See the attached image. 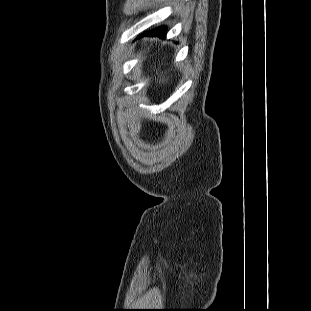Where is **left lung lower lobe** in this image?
<instances>
[{
    "label": "left lung lower lobe",
    "instance_id": "1",
    "mask_svg": "<svg viewBox=\"0 0 311 311\" xmlns=\"http://www.w3.org/2000/svg\"><path fill=\"white\" fill-rule=\"evenodd\" d=\"M146 34L152 35V36L156 35V36H159V37H165V35H166V27L165 26L158 27V28H156L153 31L146 32Z\"/></svg>",
    "mask_w": 311,
    "mask_h": 311
}]
</instances>
